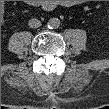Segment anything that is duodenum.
Segmentation results:
<instances>
[{
    "label": "duodenum",
    "instance_id": "410a0bca",
    "mask_svg": "<svg viewBox=\"0 0 109 109\" xmlns=\"http://www.w3.org/2000/svg\"><path fill=\"white\" fill-rule=\"evenodd\" d=\"M30 6H40V7H48L49 4L46 1H30L29 3Z\"/></svg>",
    "mask_w": 109,
    "mask_h": 109
}]
</instances>
